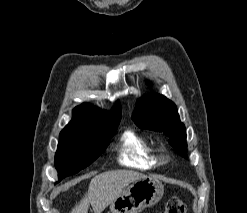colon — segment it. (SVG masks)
Here are the masks:
<instances>
[{"instance_id": "5ec220e1", "label": "colon", "mask_w": 247, "mask_h": 213, "mask_svg": "<svg viewBox=\"0 0 247 213\" xmlns=\"http://www.w3.org/2000/svg\"><path fill=\"white\" fill-rule=\"evenodd\" d=\"M164 213H186V205L179 197H173L168 200Z\"/></svg>"}]
</instances>
